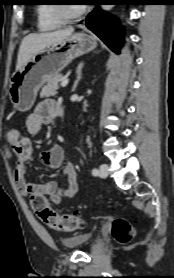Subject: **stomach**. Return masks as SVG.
<instances>
[{"mask_svg": "<svg viewBox=\"0 0 174 278\" xmlns=\"http://www.w3.org/2000/svg\"><path fill=\"white\" fill-rule=\"evenodd\" d=\"M97 46L94 37L75 33L37 52L15 71L9 84V97L13 108L27 111L33 106L39 89L59 74L75 58Z\"/></svg>", "mask_w": 174, "mask_h": 278, "instance_id": "0dacf381", "label": "stomach"}]
</instances>
